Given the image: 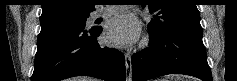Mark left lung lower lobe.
<instances>
[{"instance_id": "left-lung-lower-lobe-1", "label": "left lung lower lobe", "mask_w": 237, "mask_h": 81, "mask_svg": "<svg viewBox=\"0 0 237 81\" xmlns=\"http://www.w3.org/2000/svg\"><path fill=\"white\" fill-rule=\"evenodd\" d=\"M202 28H182L150 37L149 47L132 56L133 81L184 74L212 81Z\"/></svg>"}]
</instances>
